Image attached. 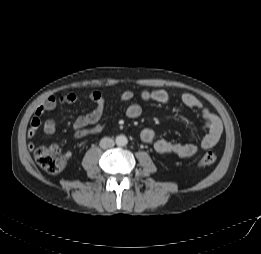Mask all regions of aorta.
Wrapping results in <instances>:
<instances>
[{
	"instance_id": "1",
	"label": "aorta",
	"mask_w": 261,
	"mask_h": 254,
	"mask_svg": "<svg viewBox=\"0 0 261 254\" xmlns=\"http://www.w3.org/2000/svg\"><path fill=\"white\" fill-rule=\"evenodd\" d=\"M127 143H128V139H127L126 136H124V135H118V136L116 137V144H117L118 146H125Z\"/></svg>"
}]
</instances>
